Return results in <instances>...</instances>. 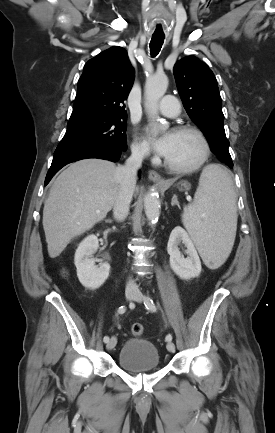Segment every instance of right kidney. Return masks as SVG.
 I'll return each instance as SVG.
<instances>
[{
	"mask_svg": "<svg viewBox=\"0 0 275 433\" xmlns=\"http://www.w3.org/2000/svg\"><path fill=\"white\" fill-rule=\"evenodd\" d=\"M99 247L98 238L95 235L87 236L78 246L74 262L77 268V276L80 283L89 289L99 288L108 278L110 265L103 263L95 266L93 254Z\"/></svg>",
	"mask_w": 275,
	"mask_h": 433,
	"instance_id": "obj_1",
	"label": "right kidney"
}]
</instances>
